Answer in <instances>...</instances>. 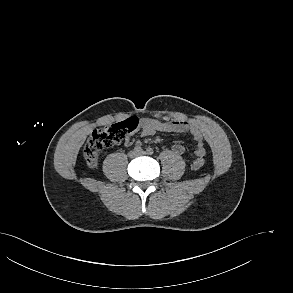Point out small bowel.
Segmentation results:
<instances>
[{
  "mask_svg": "<svg viewBox=\"0 0 293 293\" xmlns=\"http://www.w3.org/2000/svg\"><path fill=\"white\" fill-rule=\"evenodd\" d=\"M158 132L169 133V134H182L188 133L193 137L195 142L197 143V147L195 150V154L198 160L203 158L205 155V148L203 143V135L200 130L188 121H160L154 118H141L139 121V134L141 136H152ZM134 142V136L128 135L124 144L126 146L132 145ZM176 153H183L184 147L182 144L178 143L173 147Z\"/></svg>",
  "mask_w": 293,
  "mask_h": 293,
  "instance_id": "c3829d8e",
  "label": "small bowel"
}]
</instances>
